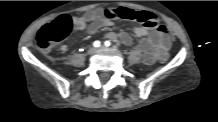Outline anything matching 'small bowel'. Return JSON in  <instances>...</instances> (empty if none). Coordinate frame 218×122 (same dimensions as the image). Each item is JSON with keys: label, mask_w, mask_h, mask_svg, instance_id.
<instances>
[{"label": "small bowel", "mask_w": 218, "mask_h": 122, "mask_svg": "<svg viewBox=\"0 0 218 122\" xmlns=\"http://www.w3.org/2000/svg\"><path fill=\"white\" fill-rule=\"evenodd\" d=\"M72 24L75 31L87 30L89 34H95L100 28L112 25V20L106 15V10L96 9L82 15L74 16ZM134 34L140 38L136 48L142 53L143 61L147 65L157 62V55H163L171 46V37L164 26L149 29L145 26H135ZM106 37L110 40H119L125 45H132L133 38L127 32L108 33ZM61 50L65 52L67 45H62Z\"/></svg>", "instance_id": "c3829d8e"}]
</instances>
